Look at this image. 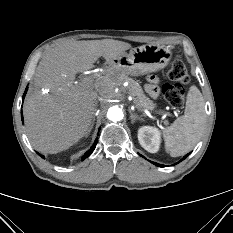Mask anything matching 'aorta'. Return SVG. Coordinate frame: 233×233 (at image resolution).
Returning a JSON list of instances; mask_svg holds the SVG:
<instances>
[{
	"mask_svg": "<svg viewBox=\"0 0 233 233\" xmlns=\"http://www.w3.org/2000/svg\"><path fill=\"white\" fill-rule=\"evenodd\" d=\"M123 116L124 115H123L122 110L117 106H113L109 108L108 113H107L108 119L113 122L121 121L123 119Z\"/></svg>",
	"mask_w": 233,
	"mask_h": 233,
	"instance_id": "1",
	"label": "aorta"
}]
</instances>
